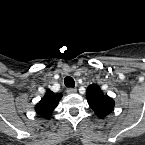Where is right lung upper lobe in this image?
Returning a JSON list of instances; mask_svg holds the SVG:
<instances>
[{"label":"right lung upper lobe","mask_w":145,"mask_h":145,"mask_svg":"<svg viewBox=\"0 0 145 145\" xmlns=\"http://www.w3.org/2000/svg\"><path fill=\"white\" fill-rule=\"evenodd\" d=\"M62 94L53 93L51 90H47L41 101L35 106V111L39 116L48 118L53 110L56 108Z\"/></svg>","instance_id":"cb5924a9"}]
</instances>
